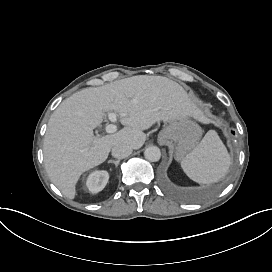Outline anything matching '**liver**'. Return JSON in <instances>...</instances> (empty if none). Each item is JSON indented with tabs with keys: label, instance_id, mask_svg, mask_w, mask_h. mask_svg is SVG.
Returning <instances> with one entry per match:
<instances>
[{
	"label": "liver",
	"instance_id": "6515ba94",
	"mask_svg": "<svg viewBox=\"0 0 272 272\" xmlns=\"http://www.w3.org/2000/svg\"><path fill=\"white\" fill-rule=\"evenodd\" d=\"M109 111L125 114L120 118L124 128L95 137L93 130ZM187 116L203 121L184 88L167 77L138 75L82 89L65 99L48 121L46 172L61 193L73 199L81 174L103 163L113 146L124 143L139 149L146 140L143 130L160 120Z\"/></svg>",
	"mask_w": 272,
	"mask_h": 272
}]
</instances>
